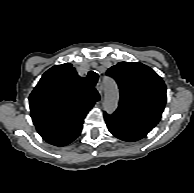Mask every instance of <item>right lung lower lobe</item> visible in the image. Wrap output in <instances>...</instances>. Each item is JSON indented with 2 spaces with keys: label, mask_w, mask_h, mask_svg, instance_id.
Listing matches in <instances>:
<instances>
[{
  "label": "right lung lower lobe",
  "mask_w": 194,
  "mask_h": 193,
  "mask_svg": "<svg viewBox=\"0 0 194 193\" xmlns=\"http://www.w3.org/2000/svg\"><path fill=\"white\" fill-rule=\"evenodd\" d=\"M82 130V125L78 126L74 131L66 135L46 140L48 143L55 146H65L76 139Z\"/></svg>",
  "instance_id": "98d812e1"
}]
</instances>
